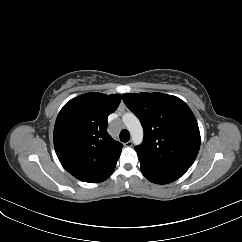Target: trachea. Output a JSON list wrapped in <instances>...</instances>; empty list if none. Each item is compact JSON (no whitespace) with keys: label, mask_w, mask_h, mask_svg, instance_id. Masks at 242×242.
<instances>
[{"label":"trachea","mask_w":242,"mask_h":242,"mask_svg":"<svg viewBox=\"0 0 242 242\" xmlns=\"http://www.w3.org/2000/svg\"><path fill=\"white\" fill-rule=\"evenodd\" d=\"M120 140L122 142H128L130 140V133L128 130L126 129H123L121 132H120Z\"/></svg>","instance_id":"trachea-1"}]
</instances>
